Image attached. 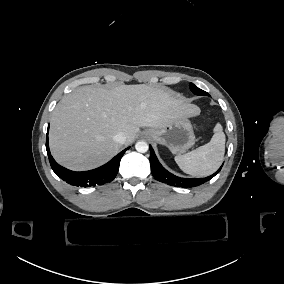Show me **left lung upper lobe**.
I'll list each match as a JSON object with an SVG mask.
<instances>
[{
	"instance_id": "1",
	"label": "left lung upper lobe",
	"mask_w": 284,
	"mask_h": 284,
	"mask_svg": "<svg viewBox=\"0 0 284 284\" xmlns=\"http://www.w3.org/2000/svg\"><path fill=\"white\" fill-rule=\"evenodd\" d=\"M190 89L191 91L196 94V95H207L209 96V94L201 89H199L198 87H196L194 84L190 83Z\"/></svg>"
}]
</instances>
